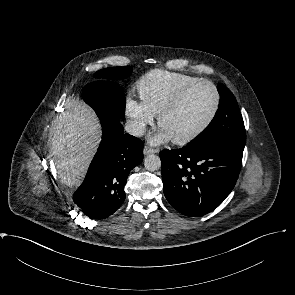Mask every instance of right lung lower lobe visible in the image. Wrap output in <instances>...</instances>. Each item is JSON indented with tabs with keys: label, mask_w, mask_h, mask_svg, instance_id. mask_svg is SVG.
I'll return each mask as SVG.
<instances>
[{
	"label": "right lung lower lobe",
	"mask_w": 295,
	"mask_h": 295,
	"mask_svg": "<svg viewBox=\"0 0 295 295\" xmlns=\"http://www.w3.org/2000/svg\"><path fill=\"white\" fill-rule=\"evenodd\" d=\"M102 141L84 182L73 194L79 209L92 219H104L125 200L130 170L143 161V142L124 134L119 121L100 119Z\"/></svg>",
	"instance_id": "1"
}]
</instances>
